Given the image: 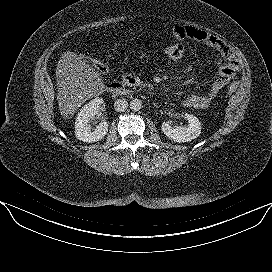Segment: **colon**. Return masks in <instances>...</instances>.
<instances>
[{
	"mask_svg": "<svg viewBox=\"0 0 272 272\" xmlns=\"http://www.w3.org/2000/svg\"><path fill=\"white\" fill-rule=\"evenodd\" d=\"M163 55L172 62H178L184 60L187 57L188 51L186 47L178 42L168 43L164 45L162 49ZM98 68L101 70H105L106 66L102 63H99ZM239 87L237 82L231 83L227 88V93L232 94L234 93Z\"/></svg>",
	"mask_w": 272,
	"mask_h": 272,
	"instance_id": "5ec220e1",
	"label": "colon"
}]
</instances>
